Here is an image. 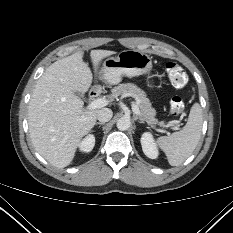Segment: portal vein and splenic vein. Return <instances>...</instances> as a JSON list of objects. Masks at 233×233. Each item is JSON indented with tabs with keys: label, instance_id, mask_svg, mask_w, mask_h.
Instances as JSON below:
<instances>
[{
	"label": "portal vein and splenic vein",
	"instance_id": "portal-vein-and-splenic-vein-1",
	"mask_svg": "<svg viewBox=\"0 0 233 233\" xmlns=\"http://www.w3.org/2000/svg\"><path fill=\"white\" fill-rule=\"evenodd\" d=\"M109 104V101L106 98H99V99H95L93 100L88 106L87 109L91 110V109H97V108H102L106 105ZM132 110L135 114L139 115L140 114V110L137 104H135L134 102H132ZM160 126L162 127H169L170 125H164L163 123H159Z\"/></svg>",
	"mask_w": 233,
	"mask_h": 233
}]
</instances>
